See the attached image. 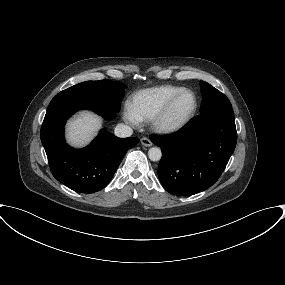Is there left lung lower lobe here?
<instances>
[{"label": "left lung lower lobe", "mask_w": 285, "mask_h": 285, "mask_svg": "<svg viewBox=\"0 0 285 285\" xmlns=\"http://www.w3.org/2000/svg\"><path fill=\"white\" fill-rule=\"evenodd\" d=\"M161 147L158 177L171 194L188 196L212 186L224 171L237 142L233 112L214 110L193 118L167 136H152Z\"/></svg>", "instance_id": "0a47b994"}]
</instances>
